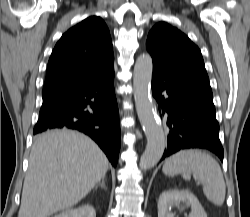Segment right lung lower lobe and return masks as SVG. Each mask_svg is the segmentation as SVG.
Wrapping results in <instances>:
<instances>
[{"label": "right lung lower lobe", "mask_w": 250, "mask_h": 217, "mask_svg": "<svg viewBox=\"0 0 250 217\" xmlns=\"http://www.w3.org/2000/svg\"><path fill=\"white\" fill-rule=\"evenodd\" d=\"M53 128L87 134L116 167L120 123L114 92V68L90 83L44 98L33 134Z\"/></svg>", "instance_id": "right-lung-lower-lobe-1"}]
</instances>
